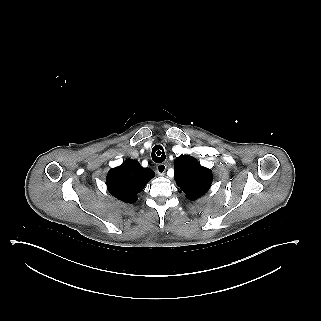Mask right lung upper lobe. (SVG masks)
<instances>
[{
	"instance_id": "obj_1",
	"label": "right lung upper lobe",
	"mask_w": 321,
	"mask_h": 321,
	"mask_svg": "<svg viewBox=\"0 0 321 321\" xmlns=\"http://www.w3.org/2000/svg\"><path fill=\"white\" fill-rule=\"evenodd\" d=\"M154 175L150 168H143L138 161L127 159L109 171L106 177L107 188L115 198L125 203H135L138 193Z\"/></svg>"
}]
</instances>
